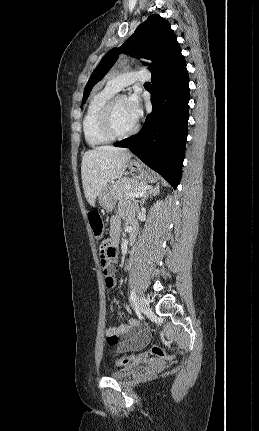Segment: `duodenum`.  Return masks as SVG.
<instances>
[{
	"label": "duodenum",
	"instance_id": "410a0bca",
	"mask_svg": "<svg viewBox=\"0 0 259 431\" xmlns=\"http://www.w3.org/2000/svg\"><path fill=\"white\" fill-rule=\"evenodd\" d=\"M136 235H137L136 225L134 223H131L129 225V239H130V243H133L135 241Z\"/></svg>",
	"mask_w": 259,
	"mask_h": 431
}]
</instances>
